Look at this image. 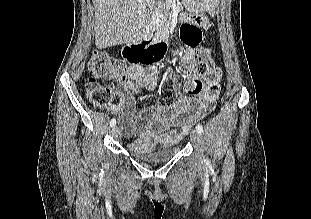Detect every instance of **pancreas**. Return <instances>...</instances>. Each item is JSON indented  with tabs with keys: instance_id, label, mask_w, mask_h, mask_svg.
<instances>
[{
	"instance_id": "obj_1",
	"label": "pancreas",
	"mask_w": 311,
	"mask_h": 219,
	"mask_svg": "<svg viewBox=\"0 0 311 219\" xmlns=\"http://www.w3.org/2000/svg\"><path fill=\"white\" fill-rule=\"evenodd\" d=\"M174 5L176 6L177 12L182 11L183 7L179 0H174V3L173 1L165 0V3H162L160 7L155 9L154 23L157 24L160 32L164 35L169 32Z\"/></svg>"
}]
</instances>
